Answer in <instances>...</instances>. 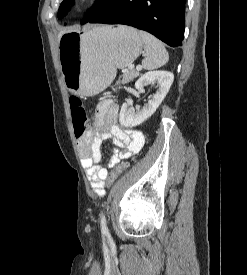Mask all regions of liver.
<instances>
[{
    "mask_svg": "<svg viewBox=\"0 0 247 275\" xmlns=\"http://www.w3.org/2000/svg\"><path fill=\"white\" fill-rule=\"evenodd\" d=\"M64 33H66V31H61V32L59 33V35H58V41L60 40L61 36H62Z\"/></svg>",
    "mask_w": 247,
    "mask_h": 275,
    "instance_id": "6515ba94",
    "label": "liver"
}]
</instances>
